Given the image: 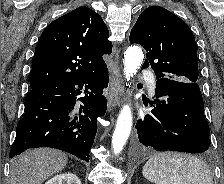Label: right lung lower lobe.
Returning a JSON list of instances; mask_svg holds the SVG:
<instances>
[{"label": "right lung lower lobe", "mask_w": 224, "mask_h": 184, "mask_svg": "<svg viewBox=\"0 0 224 184\" xmlns=\"http://www.w3.org/2000/svg\"><path fill=\"white\" fill-rule=\"evenodd\" d=\"M108 79L105 66L91 75L32 88L25 98V114L17 124L10 158L29 148L52 147L88 162L97 118L107 107L102 90Z\"/></svg>", "instance_id": "right-lung-lower-lobe-1"}]
</instances>
